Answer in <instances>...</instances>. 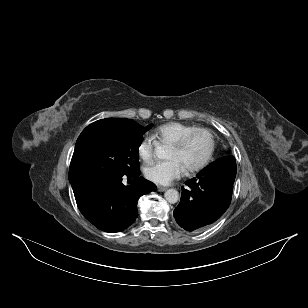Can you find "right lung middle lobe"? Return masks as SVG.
<instances>
[{"mask_svg":"<svg viewBox=\"0 0 308 308\" xmlns=\"http://www.w3.org/2000/svg\"><path fill=\"white\" fill-rule=\"evenodd\" d=\"M143 127L136 122L126 127H101L81 133L71 160L69 175L98 174L107 177L132 174L139 170Z\"/></svg>","mask_w":308,"mask_h":308,"instance_id":"dd1d6c3e","label":"right lung middle lobe"}]
</instances>
